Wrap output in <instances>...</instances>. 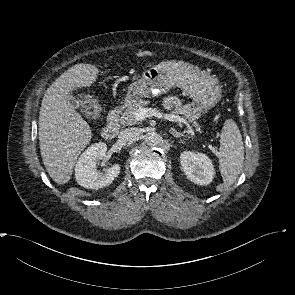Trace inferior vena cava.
<instances>
[{"instance_id": "inferior-vena-cava-1", "label": "inferior vena cava", "mask_w": 295, "mask_h": 295, "mask_svg": "<svg viewBox=\"0 0 295 295\" xmlns=\"http://www.w3.org/2000/svg\"><path fill=\"white\" fill-rule=\"evenodd\" d=\"M140 134V130L138 128H126L122 130L119 134L120 141H133L135 140Z\"/></svg>"}]
</instances>
